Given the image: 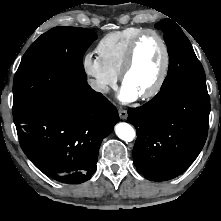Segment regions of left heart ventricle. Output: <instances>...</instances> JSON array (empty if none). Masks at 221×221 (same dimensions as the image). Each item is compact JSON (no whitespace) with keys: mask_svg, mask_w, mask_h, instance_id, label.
<instances>
[{"mask_svg":"<svg viewBox=\"0 0 221 221\" xmlns=\"http://www.w3.org/2000/svg\"><path fill=\"white\" fill-rule=\"evenodd\" d=\"M163 62V50L154 36L144 37L136 50L132 68L125 77L124 85L138 95L148 91L157 80Z\"/></svg>","mask_w":221,"mask_h":221,"instance_id":"obj_1","label":"left heart ventricle"}]
</instances>
